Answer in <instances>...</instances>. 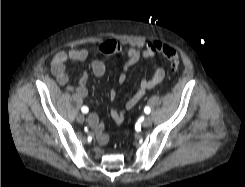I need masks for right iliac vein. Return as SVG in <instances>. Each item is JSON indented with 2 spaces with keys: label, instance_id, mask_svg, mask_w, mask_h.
<instances>
[{
  "label": "right iliac vein",
  "instance_id": "1",
  "mask_svg": "<svg viewBox=\"0 0 245 187\" xmlns=\"http://www.w3.org/2000/svg\"><path fill=\"white\" fill-rule=\"evenodd\" d=\"M77 121H78L79 123H84V121H85L84 115H82V114L78 115V116H77Z\"/></svg>",
  "mask_w": 245,
  "mask_h": 187
}]
</instances>
